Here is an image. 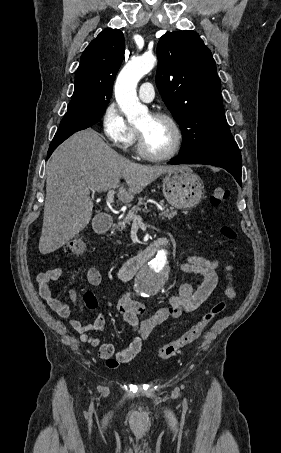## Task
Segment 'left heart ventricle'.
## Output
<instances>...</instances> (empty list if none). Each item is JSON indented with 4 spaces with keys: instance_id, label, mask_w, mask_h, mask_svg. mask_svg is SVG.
<instances>
[{
    "instance_id": "obj_1",
    "label": "left heart ventricle",
    "mask_w": 281,
    "mask_h": 453,
    "mask_svg": "<svg viewBox=\"0 0 281 453\" xmlns=\"http://www.w3.org/2000/svg\"><path fill=\"white\" fill-rule=\"evenodd\" d=\"M143 135L146 148L155 154L167 153L174 141V133L169 124L160 120H153L147 114L137 126Z\"/></svg>"
}]
</instances>
